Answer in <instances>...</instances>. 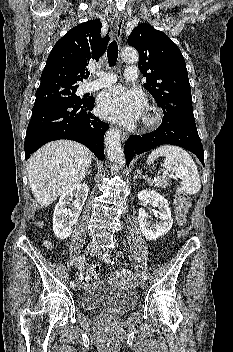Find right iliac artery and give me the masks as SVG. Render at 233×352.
Returning <instances> with one entry per match:
<instances>
[{
    "instance_id": "obj_1",
    "label": "right iliac artery",
    "mask_w": 233,
    "mask_h": 352,
    "mask_svg": "<svg viewBox=\"0 0 233 352\" xmlns=\"http://www.w3.org/2000/svg\"><path fill=\"white\" fill-rule=\"evenodd\" d=\"M85 260H86V257L84 255H81V256H79L77 258L78 263L81 264V265L85 262ZM74 286H75L74 281H71L70 282V287H74Z\"/></svg>"
}]
</instances>
